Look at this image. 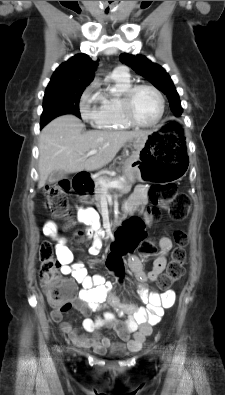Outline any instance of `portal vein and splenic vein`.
I'll return each mask as SVG.
<instances>
[{
  "label": "portal vein and splenic vein",
  "mask_w": 225,
  "mask_h": 395,
  "mask_svg": "<svg viewBox=\"0 0 225 395\" xmlns=\"http://www.w3.org/2000/svg\"><path fill=\"white\" fill-rule=\"evenodd\" d=\"M97 152H98V150H91L85 155V157L92 156V155L96 154ZM101 184L103 185L104 188H119V189L123 188V185L117 180H114V181H111L108 183L101 181Z\"/></svg>",
  "instance_id": "18ae733b"
}]
</instances>
